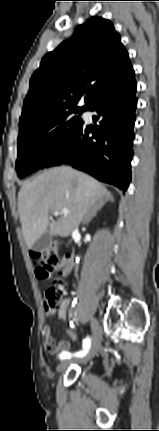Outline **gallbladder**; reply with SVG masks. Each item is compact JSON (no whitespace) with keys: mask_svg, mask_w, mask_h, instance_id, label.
<instances>
[{"mask_svg":"<svg viewBox=\"0 0 159 431\" xmlns=\"http://www.w3.org/2000/svg\"><path fill=\"white\" fill-rule=\"evenodd\" d=\"M52 242V235L49 231L42 234L32 245V249L36 252H41L48 248Z\"/></svg>","mask_w":159,"mask_h":431,"instance_id":"1","label":"gallbladder"}]
</instances>
